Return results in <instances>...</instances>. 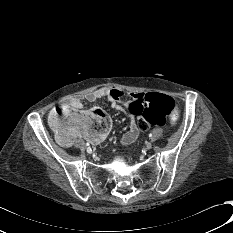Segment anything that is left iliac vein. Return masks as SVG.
Segmentation results:
<instances>
[{
  "mask_svg": "<svg viewBox=\"0 0 233 233\" xmlns=\"http://www.w3.org/2000/svg\"><path fill=\"white\" fill-rule=\"evenodd\" d=\"M152 148V143L151 142H147L146 143V149L150 150Z\"/></svg>",
  "mask_w": 233,
  "mask_h": 233,
  "instance_id": "1",
  "label": "left iliac vein"
}]
</instances>
